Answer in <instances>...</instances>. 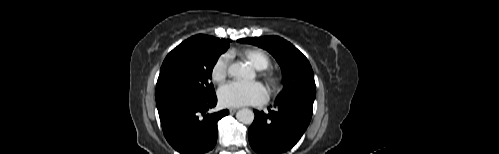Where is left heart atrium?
Segmentation results:
<instances>
[{
	"mask_svg": "<svg viewBox=\"0 0 499 154\" xmlns=\"http://www.w3.org/2000/svg\"><path fill=\"white\" fill-rule=\"evenodd\" d=\"M218 98L221 105L233 107L263 104L266 102L268 95L261 83L233 81L223 85L219 89Z\"/></svg>",
	"mask_w": 499,
	"mask_h": 154,
	"instance_id": "obj_1",
	"label": "left heart atrium"
}]
</instances>
